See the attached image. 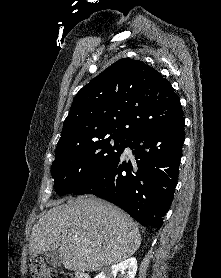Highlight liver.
Masks as SVG:
<instances>
[{
	"label": "liver",
	"mask_w": 221,
	"mask_h": 278,
	"mask_svg": "<svg viewBox=\"0 0 221 278\" xmlns=\"http://www.w3.org/2000/svg\"><path fill=\"white\" fill-rule=\"evenodd\" d=\"M32 229L30 255L58 249L70 271L95 272L132 256L141 236L133 219L94 196L55 202Z\"/></svg>",
	"instance_id": "1"
}]
</instances>
